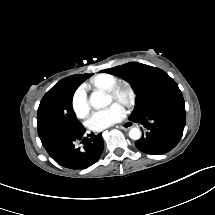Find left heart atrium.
<instances>
[{
	"mask_svg": "<svg viewBox=\"0 0 215 215\" xmlns=\"http://www.w3.org/2000/svg\"><path fill=\"white\" fill-rule=\"evenodd\" d=\"M125 111L123 107L116 105L102 109L98 112L90 114L88 121L92 128H99L101 125L107 124L109 121L119 120L123 118Z\"/></svg>",
	"mask_w": 215,
	"mask_h": 215,
	"instance_id": "1",
	"label": "left heart atrium"
}]
</instances>
